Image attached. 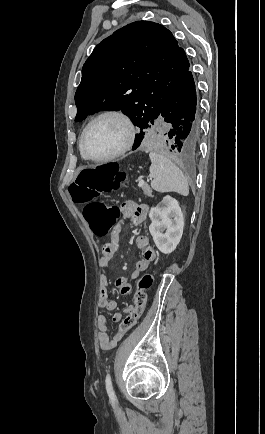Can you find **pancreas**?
<instances>
[{"mask_svg": "<svg viewBox=\"0 0 265 434\" xmlns=\"http://www.w3.org/2000/svg\"><path fill=\"white\" fill-rule=\"evenodd\" d=\"M142 190H143L145 196H149V198H153L152 190H151L150 186H148V184H143Z\"/></svg>", "mask_w": 265, "mask_h": 434, "instance_id": "pancreas-1", "label": "pancreas"}]
</instances>
